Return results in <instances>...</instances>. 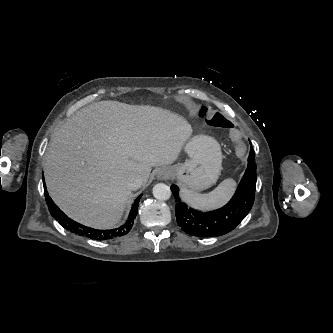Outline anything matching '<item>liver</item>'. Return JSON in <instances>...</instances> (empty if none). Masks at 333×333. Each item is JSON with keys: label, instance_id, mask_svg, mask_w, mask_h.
Returning <instances> with one entry per match:
<instances>
[{"label": "liver", "instance_id": "obj_1", "mask_svg": "<svg viewBox=\"0 0 333 333\" xmlns=\"http://www.w3.org/2000/svg\"><path fill=\"white\" fill-rule=\"evenodd\" d=\"M167 110L117 101L78 111L51 138L44 173L49 195L72 219L97 229L121 219L130 175L148 181L151 168L172 164L192 135Z\"/></svg>", "mask_w": 333, "mask_h": 333}]
</instances>
